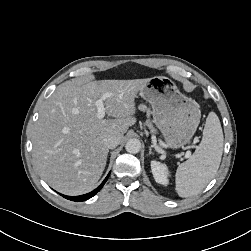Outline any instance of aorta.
Masks as SVG:
<instances>
[{
    "label": "aorta",
    "mask_w": 251,
    "mask_h": 251,
    "mask_svg": "<svg viewBox=\"0 0 251 251\" xmlns=\"http://www.w3.org/2000/svg\"><path fill=\"white\" fill-rule=\"evenodd\" d=\"M128 153L136 154L141 149V142L138 139H129L125 145Z\"/></svg>",
    "instance_id": "obj_1"
}]
</instances>
